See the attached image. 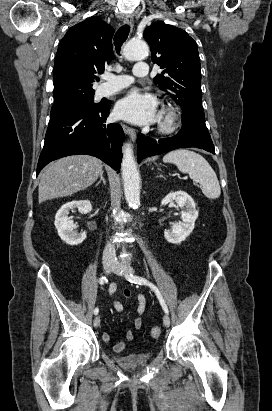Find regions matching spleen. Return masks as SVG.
<instances>
[{"label":"spleen","mask_w":272,"mask_h":411,"mask_svg":"<svg viewBox=\"0 0 272 411\" xmlns=\"http://www.w3.org/2000/svg\"><path fill=\"white\" fill-rule=\"evenodd\" d=\"M163 162L175 164L180 172L188 173L191 179L198 181L207 198L216 199L220 196L216 173L200 154L187 149L173 150L163 157Z\"/></svg>","instance_id":"spleen-1"}]
</instances>
